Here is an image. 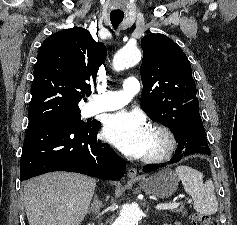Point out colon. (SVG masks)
<instances>
[{
	"instance_id": "colon-1",
	"label": "colon",
	"mask_w": 237,
	"mask_h": 225,
	"mask_svg": "<svg viewBox=\"0 0 237 225\" xmlns=\"http://www.w3.org/2000/svg\"><path fill=\"white\" fill-rule=\"evenodd\" d=\"M190 222L191 225H218L212 217L204 214H192Z\"/></svg>"
}]
</instances>
